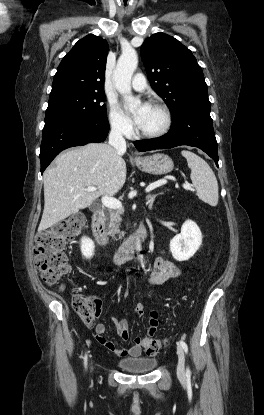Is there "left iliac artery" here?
Listing matches in <instances>:
<instances>
[{"instance_id":"1","label":"left iliac artery","mask_w":264,"mask_h":415,"mask_svg":"<svg viewBox=\"0 0 264 415\" xmlns=\"http://www.w3.org/2000/svg\"><path fill=\"white\" fill-rule=\"evenodd\" d=\"M179 344L184 349V351L187 353L188 352V346H187V344L184 341H182V340L179 341ZM190 376H191V371H190L189 368H187V370H186V377L187 378H190Z\"/></svg>"}]
</instances>
